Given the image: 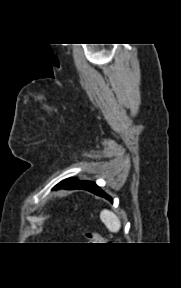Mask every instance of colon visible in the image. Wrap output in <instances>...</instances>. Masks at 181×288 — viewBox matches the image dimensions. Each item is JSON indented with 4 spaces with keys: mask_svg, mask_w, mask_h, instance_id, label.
<instances>
[{
    "mask_svg": "<svg viewBox=\"0 0 181 288\" xmlns=\"http://www.w3.org/2000/svg\"><path fill=\"white\" fill-rule=\"evenodd\" d=\"M90 238H91V239H95V238H96V234H93V233L90 234Z\"/></svg>",
    "mask_w": 181,
    "mask_h": 288,
    "instance_id": "colon-1",
    "label": "colon"
}]
</instances>
